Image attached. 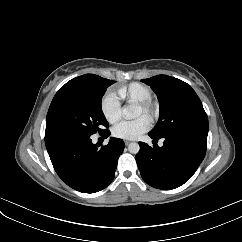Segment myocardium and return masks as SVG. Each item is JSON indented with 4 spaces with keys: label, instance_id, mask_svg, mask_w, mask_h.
Segmentation results:
<instances>
[{
    "label": "myocardium",
    "instance_id": "obj_1",
    "mask_svg": "<svg viewBox=\"0 0 242 242\" xmlns=\"http://www.w3.org/2000/svg\"><path fill=\"white\" fill-rule=\"evenodd\" d=\"M137 106L142 110L143 115L151 120H154L158 115L157 103L151 99L137 103Z\"/></svg>",
    "mask_w": 242,
    "mask_h": 242
}]
</instances>
